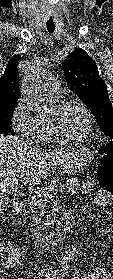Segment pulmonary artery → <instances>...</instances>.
<instances>
[{
	"label": "pulmonary artery",
	"mask_w": 113,
	"mask_h": 279,
	"mask_svg": "<svg viewBox=\"0 0 113 279\" xmlns=\"http://www.w3.org/2000/svg\"><path fill=\"white\" fill-rule=\"evenodd\" d=\"M44 87L51 97H58L62 93L59 80L54 75L47 77Z\"/></svg>",
	"instance_id": "obj_1"
}]
</instances>
